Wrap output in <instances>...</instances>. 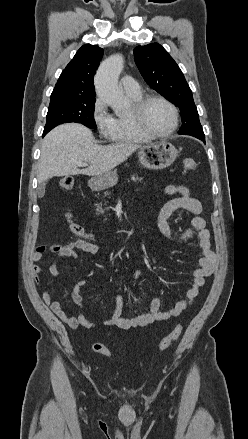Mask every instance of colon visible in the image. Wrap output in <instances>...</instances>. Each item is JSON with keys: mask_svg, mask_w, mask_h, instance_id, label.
<instances>
[{"mask_svg": "<svg viewBox=\"0 0 248 439\" xmlns=\"http://www.w3.org/2000/svg\"><path fill=\"white\" fill-rule=\"evenodd\" d=\"M182 163L185 173H191L197 168V163L193 158H184ZM73 185L74 181L71 177L62 178L59 182L60 188L65 191L71 190L73 188ZM67 221L69 223L70 230L74 235L84 238L90 243H93L96 240L93 234L86 232L81 225L72 221L69 215H67ZM182 331L183 326L181 324H178L167 336H165L161 340L158 346V350L162 352L168 349L178 340V338L182 334ZM93 350L107 357H113V353L111 352V350H109V348L101 343H95L93 345Z\"/></svg>", "mask_w": 248, "mask_h": 439, "instance_id": "obj_1", "label": "colon"}]
</instances>
